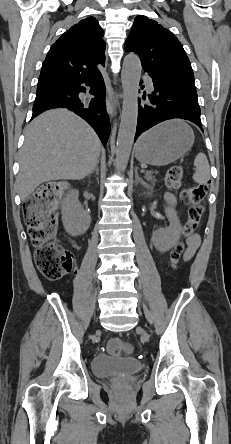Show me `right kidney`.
I'll return each instance as SVG.
<instances>
[{"label":"right kidney","mask_w":231,"mask_h":444,"mask_svg":"<svg viewBox=\"0 0 231 444\" xmlns=\"http://www.w3.org/2000/svg\"><path fill=\"white\" fill-rule=\"evenodd\" d=\"M77 190H72L61 206L62 222L67 233L72 236L82 235L91 223L90 215L83 209Z\"/></svg>","instance_id":"ca27d5eb"}]
</instances>
